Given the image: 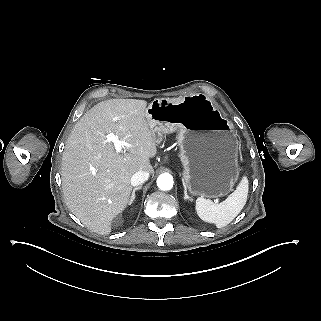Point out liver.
Segmentation results:
<instances>
[{"instance_id": "liver-1", "label": "liver", "mask_w": 321, "mask_h": 321, "mask_svg": "<svg viewBox=\"0 0 321 321\" xmlns=\"http://www.w3.org/2000/svg\"><path fill=\"white\" fill-rule=\"evenodd\" d=\"M147 102L110 99L87 111L75 124L62 157V189L67 207L90 230L111 232L112 220L126 208L131 177L154 174L149 158L157 152L156 137L145 118ZM131 144L117 153L106 134Z\"/></svg>"}]
</instances>
